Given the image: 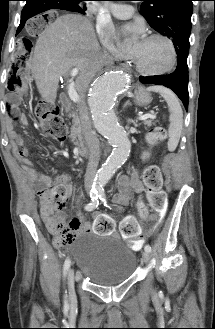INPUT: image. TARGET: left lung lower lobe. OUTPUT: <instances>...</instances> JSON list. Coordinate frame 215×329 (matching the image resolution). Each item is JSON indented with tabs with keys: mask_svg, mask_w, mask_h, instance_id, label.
<instances>
[{
	"mask_svg": "<svg viewBox=\"0 0 215 329\" xmlns=\"http://www.w3.org/2000/svg\"><path fill=\"white\" fill-rule=\"evenodd\" d=\"M188 53L181 52L178 54V63L176 70L167 75L140 76L139 80L144 84L163 85L170 88L183 102L184 107L188 110Z\"/></svg>",
	"mask_w": 215,
	"mask_h": 329,
	"instance_id": "obj_1",
	"label": "left lung lower lobe"
}]
</instances>
